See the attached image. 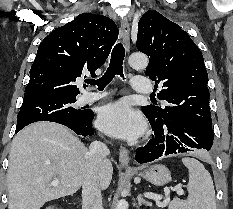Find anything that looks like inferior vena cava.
Segmentation results:
<instances>
[{
  "label": "inferior vena cava",
  "instance_id": "inferior-vena-cava-1",
  "mask_svg": "<svg viewBox=\"0 0 233 209\" xmlns=\"http://www.w3.org/2000/svg\"><path fill=\"white\" fill-rule=\"evenodd\" d=\"M108 155L109 149L104 143L94 141L90 144L86 154L88 170L82 184V209H103L97 174L100 165L107 161Z\"/></svg>",
  "mask_w": 233,
  "mask_h": 209
}]
</instances>
